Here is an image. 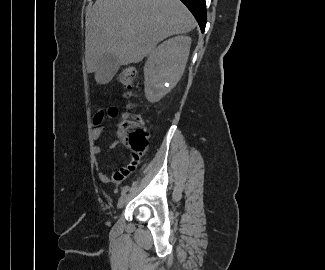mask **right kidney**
<instances>
[{
	"mask_svg": "<svg viewBox=\"0 0 325 270\" xmlns=\"http://www.w3.org/2000/svg\"><path fill=\"white\" fill-rule=\"evenodd\" d=\"M190 45V37L178 36L163 42L150 54L144 67L145 96L149 102H158L178 83Z\"/></svg>",
	"mask_w": 325,
	"mask_h": 270,
	"instance_id": "obj_1",
	"label": "right kidney"
}]
</instances>
